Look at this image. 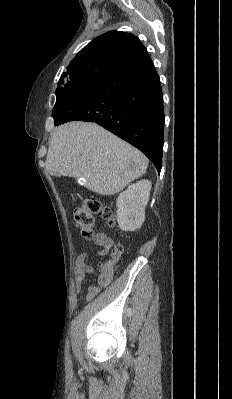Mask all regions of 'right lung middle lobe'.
<instances>
[{
    "label": "right lung middle lobe",
    "mask_w": 232,
    "mask_h": 399,
    "mask_svg": "<svg viewBox=\"0 0 232 399\" xmlns=\"http://www.w3.org/2000/svg\"><path fill=\"white\" fill-rule=\"evenodd\" d=\"M105 79L85 77L72 80L64 85L60 92L56 93V103L53 108L54 121L57 119L62 107L70 101L80 99L94 88L99 86Z\"/></svg>",
    "instance_id": "right-lung-middle-lobe-1"
}]
</instances>
